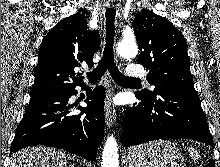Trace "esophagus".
Wrapping results in <instances>:
<instances>
[{"label": "esophagus", "instance_id": "34e87169", "mask_svg": "<svg viewBox=\"0 0 220 167\" xmlns=\"http://www.w3.org/2000/svg\"><path fill=\"white\" fill-rule=\"evenodd\" d=\"M113 89H109L106 94L105 98V120H106V125L108 128H110L113 125L114 122V112H113V105H112V97H113Z\"/></svg>", "mask_w": 220, "mask_h": 167}]
</instances>
